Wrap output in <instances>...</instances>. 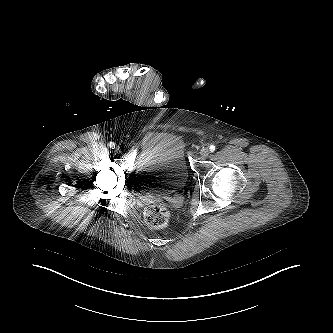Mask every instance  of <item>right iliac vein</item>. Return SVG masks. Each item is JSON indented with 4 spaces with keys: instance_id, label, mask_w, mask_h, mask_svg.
<instances>
[{
    "instance_id": "63e3f726",
    "label": "right iliac vein",
    "mask_w": 333,
    "mask_h": 333,
    "mask_svg": "<svg viewBox=\"0 0 333 333\" xmlns=\"http://www.w3.org/2000/svg\"><path fill=\"white\" fill-rule=\"evenodd\" d=\"M121 151V148L120 147H115V152L116 153H119Z\"/></svg>"
}]
</instances>
